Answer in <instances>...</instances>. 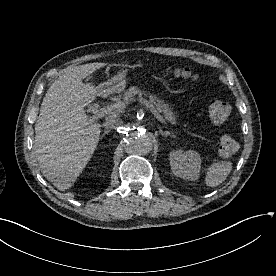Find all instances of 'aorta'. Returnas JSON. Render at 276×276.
<instances>
[{
	"label": "aorta",
	"mask_w": 276,
	"mask_h": 276,
	"mask_svg": "<svg viewBox=\"0 0 276 276\" xmlns=\"http://www.w3.org/2000/svg\"><path fill=\"white\" fill-rule=\"evenodd\" d=\"M124 138L125 147L129 153L144 155L153 148L152 136L133 125L125 128Z\"/></svg>",
	"instance_id": "762f6f07"
}]
</instances>
